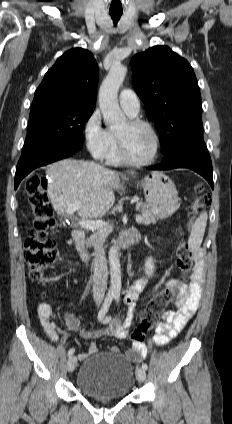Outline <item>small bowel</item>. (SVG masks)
<instances>
[{
  "label": "small bowel",
  "mask_w": 232,
  "mask_h": 424,
  "mask_svg": "<svg viewBox=\"0 0 232 424\" xmlns=\"http://www.w3.org/2000/svg\"><path fill=\"white\" fill-rule=\"evenodd\" d=\"M176 282L177 280L175 279H167L164 285L170 286L176 284ZM202 282L203 262L202 259L199 258L188 287L185 288L181 285L178 289V295L174 301L176 309L165 311L162 314V322L156 327L154 335V342L157 345L163 346L168 344L171 339L176 337L177 334L183 330L188 320L195 314L199 307L202 294ZM144 287L145 280L139 279L127 289L124 300L125 304L129 307V311L124 321H121L119 318L106 316L102 319L105 325L104 328L99 330H87L80 326L79 320L73 314L66 312L64 314L65 323L71 331L77 332L81 338L86 340H95L106 335L117 339H125L127 337V329L132 322L133 307ZM130 309H132V311H130ZM37 314L47 337L52 342H56L58 339V329L53 319L51 307L46 303H40L37 306ZM98 351V346L95 343H91L88 352L80 354V358L96 354ZM110 351L117 353L119 349L117 346L113 345L110 347ZM127 355L132 361L139 362L146 357L147 348L145 344L131 345L127 351Z\"/></svg>",
  "instance_id": "1"
}]
</instances>
